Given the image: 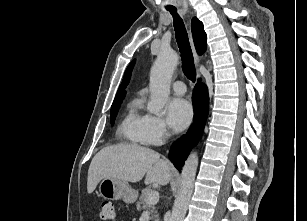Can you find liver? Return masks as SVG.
Wrapping results in <instances>:
<instances>
[{
    "label": "liver",
    "instance_id": "liver-1",
    "mask_svg": "<svg viewBox=\"0 0 307 221\" xmlns=\"http://www.w3.org/2000/svg\"><path fill=\"white\" fill-rule=\"evenodd\" d=\"M172 165L160 159L154 150L135 145L117 144L101 149L88 170L87 192L91 194L104 178L136 183L145 176L146 184L166 185L171 179Z\"/></svg>",
    "mask_w": 307,
    "mask_h": 221
}]
</instances>
